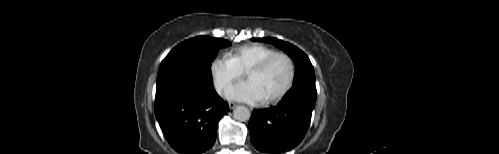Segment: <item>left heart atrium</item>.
Listing matches in <instances>:
<instances>
[{"label": "left heart atrium", "mask_w": 499, "mask_h": 154, "mask_svg": "<svg viewBox=\"0 0 499 154\" xmlns=\"http://www.w3.org/2000/svg\"><path fill=\"white\" fill-rule=\"evenodd\" d=\"M226 96L229 99L247 103H259L265 100L259 87L252 81H243L233 85L227 90Z\"/></svg>", "instance_id": "obj_1"}]
</instances>
